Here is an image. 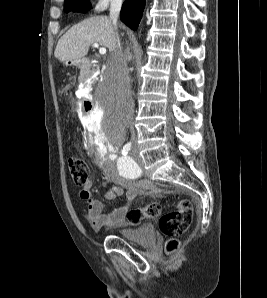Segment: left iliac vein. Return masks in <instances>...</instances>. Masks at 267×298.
<instances>
[{
  "instance_id": "4c4485c4",
  "label": "left iliac vein",
  "mask_w": 267,
  "mask_h": 298,
  "mask_svg": "<svg viewBox=\"0 0 267 298\" xmlns=\"http://www.w3.org/2000/svg\"><path fill=\"white\" fill-rule=\"evenodd\" d=\"M133 154H134V156L139 160V161H141V159L139 158V156H138V152H137V148L136 147H134L133 148Z\"/></svg>"
}]
</instances>
